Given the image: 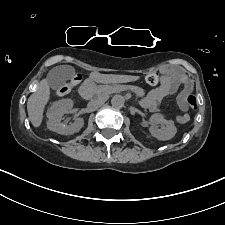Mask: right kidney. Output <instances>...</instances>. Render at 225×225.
Wrapping results in <instances>:
<instances>
[{"label":"right kidney","mask_w":225,"mask_h":225,"mask_svg":"<svg viewBox=\"0 0 225 225\" xmlns=\"http://www.w3.org/2000/svg\"><path fill=\"white\" fill-rule=\"evenodd\" d=\"M73 101L71 99H62L52 104L47 112V126L51 131L62 135H71L79 132L84 125L83 118H77L70 125L61 123L64 114L71 113Z\"/></svg>","instance_id":"ca27d5eb"}]
</instances>
